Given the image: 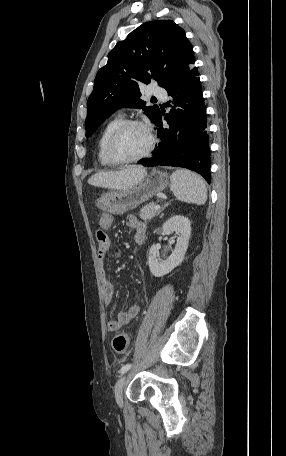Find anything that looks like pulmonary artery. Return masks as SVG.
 I'll use <instances>...</instances> for the list:
<instances>
[{
    "instance_id": "pulmonary-artery-1",
    "label": "pulmonary artery",
    "mask_w": 286,
    "mask_h": 456,
    "mask_svg": "<svg viewBox=\"0 0 286 456\" xmlns=\"http://www.w3.org/2000/svg\"><path fill=\"white\" fill-rule=\"evenodd\" d=\"M152 94L156 97H160V98H166L167 96V92L166 90L162 89V88H154L152 90Z\"/></svg>"
}]
</instances>
